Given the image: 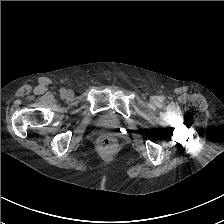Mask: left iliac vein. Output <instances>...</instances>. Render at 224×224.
<instances>
[{
  "mask_svg": "<svg viewBox=\"0 0 224 224\" xmlns=\"http://www.w3.org/2000/svg\"><path fill=\"white\" fill-rule=\"evenodd\" d=\"M158 99H159L158 97H153L152 102L153 103H157L158 102Z\"/></svg>",
  "mask_w": 224,
  "mask_h": 224,
  "instance_id": "obj_1",
  "label": "left iliac vein"
}]
</instances>
